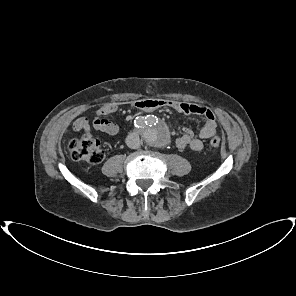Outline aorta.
Returning a JSON list of instances; mask_svg holds the SVG:
<instances>
[{
    "label": "aorta",
    "mask_w": 296,
    "mask_h": 296,
    "mask_svg": "<svg viewBox=\"0 0 296 296\" xmlns=\"http://www.w3.org/2000/svg\"><path fill=\"white\" fill-rule=\"evenodd\" d=\"M142 137L148 145L156 148H165L170 142L169 131L154 117L146 120V125L142 127Z\"/></svg>",
    "instance_id": "762f6f07"
}]
</instances>
